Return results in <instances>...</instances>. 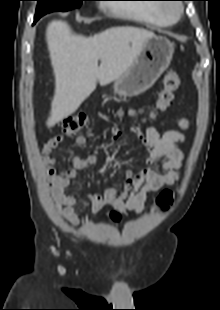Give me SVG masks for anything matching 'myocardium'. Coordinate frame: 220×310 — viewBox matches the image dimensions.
<instances>
[{
    "instance_id": "obj_1",
    "label": "myocardium",
    "mask_w": 220,
    "mask_h": 310,
    "mask_svg": "<svg viewBox=\"0 0 220 310\" xmlns=\"http://www.w3.org/2000/svg\"><path fill=\"white\" fill-rule=\"evenodd\" d=\"M163 12L167 17L174 21L182 15L183 8L180 5L167 4L165 5Z\"/></svg>"
}]
</instances>
